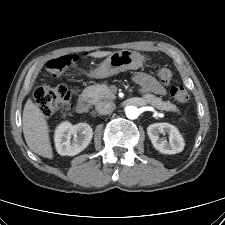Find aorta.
I'll use <instances>...</instances> for the list:
<instances>
[{"label":"aorta","instance_id":"aorta-1","mask_svg":"<svg viewBox=\"0 0 225 225\" xmlns=\"http://www.w3.org/2000/svg\"><path fill=\"white\" fill-rule=\"evenodd\" d=\"M127 118L136 119L139 116V109L136 106H127L125 109Z\"/></svg>","mask_w":225,"mask_h":225}]
</instances>
